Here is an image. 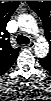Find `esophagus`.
<instances>
[{
    "label": "esophagus",
    "mask_w": 51,
    "mask_h": 101,
    "mask_svg": "<svg viewBox=\"0 0 51 101\" xmlns=\"http://www.w3.org/2000/svg\"><path fill=\"white\" fill-rule=\"evenodd\" d=\"M34 45H35V42L32 41V42H30V43L27 45V47L31 49V48L34 47Z\"/></svg>",
    "instance_id": "esophagus-1"
}]
</instances>
